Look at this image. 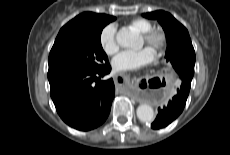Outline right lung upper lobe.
Wrapping results in <instances>:
<instances>
[{
  "instance_id": "1",
  "label": "right lung upper lobe",
  "mask_w": 230,
  "mask_h": 155,
  "mask_svg": "<svg viewBox=\"0 0 230 155\" xmlns=\"http://www.w3.org/2000/svg\"><path fill=\"white\" fill-rule=\"evenodd\" d=\"M113 18L115 17L106 14L84 12L64 25L59 34L68 32H86L94 28L101 21L111 20Z\"/></svg>"
}]
</instances>
